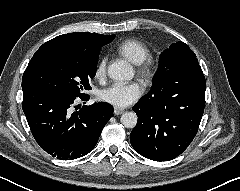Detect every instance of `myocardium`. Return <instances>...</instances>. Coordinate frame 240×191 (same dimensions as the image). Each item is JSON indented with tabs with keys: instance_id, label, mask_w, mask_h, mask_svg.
I'll use <instances>...</instances> for the list:
<instances>
[{
	"instance_id": "myocardium-1",
	"label": "myocardium",
	"mask_w": 240,
	"mask_h": 191,
	"mask_svg": "<svg viewBox=\"0 0 240 191\" xmlns=\"http://www.w3.org/2000/svg\"><path fill=\"white\" fill-rule=\"evenodd\" d=\"M137 71L142 78L151 80L155 76L156 66L152 60L146 59L142 63L138 64Z\"/></svg>"
}]
</instances>
